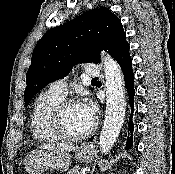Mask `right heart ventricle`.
Returning a JSON list of instances; mask_svg holds the SVG:
<instances>
[{"mask_svg":"<svg viewBox=\"0 0 175 174\" xmlns=\"http://www.w3.org/2000/svg\"><path fill=\"white\" fill-rule=\"evenodd\" d=\"M50 89L43 92L36 99L31 115V131L36 140L42 143L56 142L59 137L50 125V115L53 108L63 99Z\"/></svg>","mask_w":175,"mask_h":174,"instance_id":"1","label":"right heart ventricle"}]
</instances>
